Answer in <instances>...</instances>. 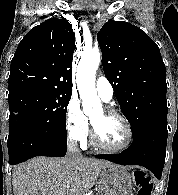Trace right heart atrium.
I'll use <instances>...</instances> for the list:
<instances>
[{"label": "right heart atrium", "instance_id": "right-heart-atrium-1", "mask_svg": "<svg viewBox=\"0 0 178 195\" xmlns=\"http://www.w3.org/2000/svg\"><path fill=\"white\" fill-rule=\"evenodd\" d=\"M66 129L71 140L86 143L90 136L89 121L77 99H71L66 107Z\"/></svg>", "mask_w": 178, "mask_h": 195}]
</instances>
